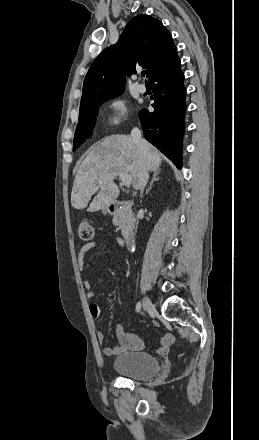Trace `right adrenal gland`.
Instances as JSON below:
<instances>
[{"mask_svg":"<svg viewBox=\"0 0 259 440\" xmlns=\"http://www.w3.org/2000/svg\"><path fill=\"white\" fill-rule=\"evenodd\" d=\"M159 174H160V171H155V172L153 173V175H152V179H151V182H150V184H149V186H148V188H147L145 194H148V192L151 190V187H152L153 183H154L155 181H158V180L160 179V178L158 177Z\"/></svg>","mask_w":259,"mask_h":440,"instance_id":"obj_1","label":"right adrenal gland"}]
</instances>
